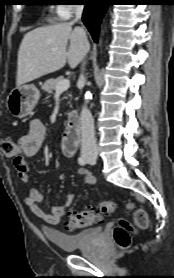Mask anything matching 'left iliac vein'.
<instances>
[{
    "label": "left iliac vein",
    "instance_id": "obj_1",
    "mask_svg": "<svg viewBox=\"0 0 174 278\" xmlns=\"http://www.w3.org/2000/svg\"><path fill=\"white\" fill-rule=\"evenodd\" d=\"M87 162L91 165L95 164L96 163V159H93V158H87Z\"/></svg>",
    "mask_w": 174,
    "mask_h": 278
}]
</instances>
